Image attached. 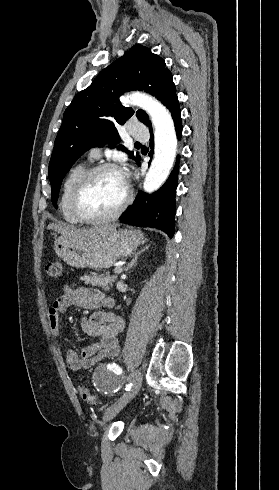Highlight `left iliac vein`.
Listing matches in <instances>:
<instances>
[{"mask_svg": "<svg viewBox=\"0 0 279 490\" xmlns=\"http://www.w3.org/2000/svg\"><path fill=\"white\" fill-rule=\"evenodd\" d=\"M128 379L132 382L131 390L122 394L117 403L106 410L103 416V423L114 418L138 394L142 382L139 371L133 370Z\"/></svg>", "mask_w": 279, "mask_h": 490, "instance_id": "left-iliac-vein-1", "label": "left iliac vein"}]
</instances>
